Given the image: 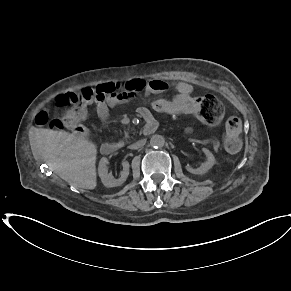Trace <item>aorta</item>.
I'll use <instances>...</instances> for the list:
<instances>
[{"mask_svg": "<svg viewBox=\"0 0 291 291\" xmlns=\"http://www.w3.org/2000/svg\"><path fill=\"white\" fill-rule=\"evenodd\" d=\"M150 144L151 146L156 147V148L162 147L165 144V139L162 135L155 134L151 137Z\"/></svg>", "mask_w": 291, "mask_h": 291, "instance_id": "obj_1", "label": "aorta"}]
</instances>
